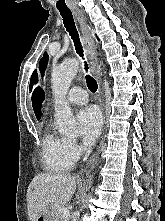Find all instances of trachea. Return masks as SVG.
Returning a JSON list of instances; mask_svg holds the SVG:
<instances>
[{"label":"trachea","mask_w":165,"mask_h":221,"mask_svg":"<svg viewBox=\"0 0 165 221\" xmlns=\"http://www.w3.org/2000/svg\"><path fill=\"white\" fill-rule=\"evenodd\" d=\"M59 12L63 18L64 26L74 42V46H75V50H76L77 54L83 58V56H84L83 48H82V44L80 42L78 31L75 26L72 12L70 10H59ZM84 63H85L84 64L85 70L87 72L88 71V64L86 61ZM85 78H86V83H87V87L89 88V90L91 92H96L98 85H97V82L95 81V79L93 77H91L89 74H87L85 76Z\"/></svg>","instance_id":"1"}]
</instances>
